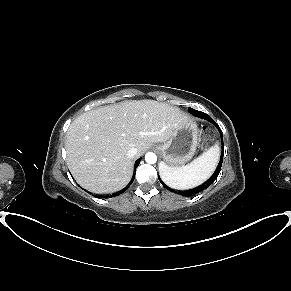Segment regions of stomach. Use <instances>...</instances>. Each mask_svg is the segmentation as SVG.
<instances>
[{"instance_id": "0dacf381", "label": "stomach", "mask_w": 291, "mask_h": 291, "mask_svg": "<svg viewBox=\"0 0 291 291\" xmlns=\"http://www.w3.org/2000/svg\"><path fill=\"white\" fill-rule=\"evenodd\" d=\"M197 141V125L189 119L176 129L166 142L158 146L163 156V163L174 168L188 162L196 151Z\"/></svg>"}]
</instances>
